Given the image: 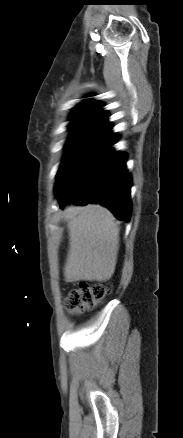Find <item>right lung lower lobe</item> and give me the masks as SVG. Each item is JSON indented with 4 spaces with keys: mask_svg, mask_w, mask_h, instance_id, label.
I'll return each mask as SVG.
<instances>
[{
    "mask_svg": "<svg viewBox=\"0 0 183 438\" xmlns=\"http://www.w3.org/2000/svg\"><path fill=\"white\" fill-rule=\"evenodd\" d=\"M110 129L111 125L100 129L57 176L55 192L60 207L67 202L99 203L119 220H129L132 179L126 155L111 149L118 137Z\"/></svg>",
    "mask_w": 183,
    "mask_h": 438,
    "instance_id": "98d812e1",
    "label": "right lung lower lobe"
}]
</instances>
